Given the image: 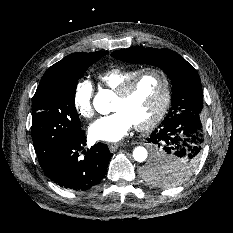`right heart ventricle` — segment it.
Instances as JSON below:
<instances>
[{
	"mask_svg": "<svg viewBox=\"0 0 233 233\" xmlns=\"http://www.w3.org/2000/svg\"><path fill=\"white\" fill-rule=\"evenodd\" d=\"M138 71V68L113 66L98 73L97 80L102 86L116 91L123 82Z\"/></svg>",
	"mask_w": 233,
	"mask_h": 233,
	"instance_id": "obj_1",
	"label": "right heart ventricle"
}]
</instances>
